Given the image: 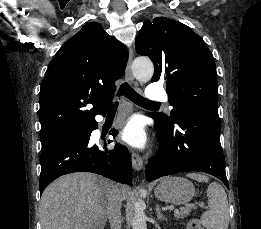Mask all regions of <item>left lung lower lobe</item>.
<instances>
[{"instance_id": "0a47b994", "label": "left lung lower lobe", "mask_w": 261, "mask_h": 229, "mask_svg": "<svg viewBox=\"0 0 261 229\" xmlns=\"http://www.w3.org/2000/svg\"><path fill=\"white\" fill-rule=\"evenodd\" d=\"M152 117L160 145L157 156L146 165L147 181L179 172L202 171L220 178L229 188L219 119L193 112L182 118L177 129H169L157 116Z\"/></svg>"}]
</instances>
